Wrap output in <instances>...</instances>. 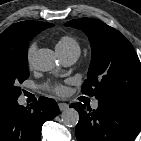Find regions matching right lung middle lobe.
<instances>
[{
    "instance_id": "obj_1",
    "label": "right lung middle lobe",
    "mask_w": 141,
    "mask_h": 141,
    "mask_svg": "<svg viewBox=\"0 0 141 141\" xmlns=\"http://www.w3.org/2000/svg\"><path fill=\"white\" fill-rule=\"evenodd\" d=\"M32 38L17 47H0V104L16 101L21 94L18 84L29 77L27 48Z\"/></svg>"
}]
</instances>
